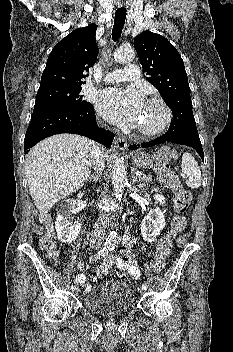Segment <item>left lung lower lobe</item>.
<instances>
[{"label": "left lung lower lobe", "instance_id": "1", "mask_svg": "<svg viewBox=\"0 0 233 352\" xmlns=\"http://www.w3.org/2000/svg\"><path fill=\"white\" fill-rule=\"evenodd\" d=\"M166 142L192 147L198 152L201 159L204 161V153H203L202 145H201L197 130H187L183 132L167 131L164 135L152 141L141 143L138 145H131L129 146V149L135 150V149H138L139 147L148 148V147L155 146L161 143H166Z\"/></svg>", "mask_w": 233, "mask_h": 352}]
</instances>
